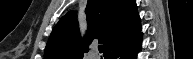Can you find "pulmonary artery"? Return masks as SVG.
Segmentation results:
<instances>
[{"label":"pulmonary artery","mask_w":193,"mask_h":59,"mask_svg":"<svg viewBox=\"0 0 193 59\" xmlns=\"http://www.w3.org/2000/svg\"><path fill=\"white\" fill-rule=\"evenodd\" d=\"M90 59H96L97 55H96V51L92 50V52L89 54Z\"/></svg>","instance_id":"e3ab8cb5"}]
</instances>
